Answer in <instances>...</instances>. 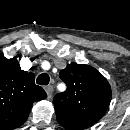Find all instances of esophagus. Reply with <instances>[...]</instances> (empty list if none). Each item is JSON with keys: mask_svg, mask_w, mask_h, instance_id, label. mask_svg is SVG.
I'll use <instances>...</instances> for the list:
<instances>
[{"mask_svg": "<svg viewBox=\"0 0 130 130\" xmlns=\"http://www.w3.org/2000/svg\"><path fill=\"white\" fill-rule=\"evenodd\" d=\"M45 91L48 95V98H50L52 96V93H53V86L52 85H48L45 87Z\"/></svg>", "mask_w": 130, "mask_h": 130, "instance_id": "34e87169", "label": "esophagus"}]
</instances>
